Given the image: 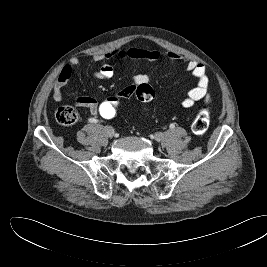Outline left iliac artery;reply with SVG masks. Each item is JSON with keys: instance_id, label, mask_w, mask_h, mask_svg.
I'll return each instance as SVG.
<instances>
[{"instance_id": "obj_1", "label": "left iliac artery", "mask_w": 267, "mask_h": 267, "mask_svg": "<svg viewBox=\"0 0 267 267\" xmlns=\"http://www.w3.org/2000/svg\"><path fill=\"white\" fill-rule=\"evenodd\" d=\"M171 129H173L174 127H175V125L172 123V124H170V126H169Z\"/></svg>"}]
</instances>
